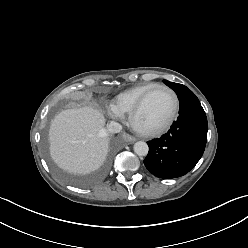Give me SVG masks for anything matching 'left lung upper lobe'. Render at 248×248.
<instances>
[{
  "label": "left lung upper lobe",
  "mask_w": 248,
  "mask_h": 248,
  "mask_svg": "<svg viewBox=\"0 0 248 248\" xmlns=\"http://www.w3.org/2000/svg\"><path fill=\"white\" fill-rule=\"evenodd\" d=\"M163 82L169 86L178 96L179 101L183 103H187L192 97H196L194 93L189 90L186 86L174 82H170L168 80H163ZM180 111V109H179Z\"/></svg>",
  "instance_id": "1"
}]
</instances>
